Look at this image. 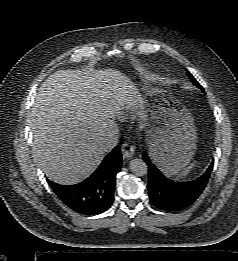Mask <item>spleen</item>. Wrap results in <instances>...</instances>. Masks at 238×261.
I'll list each match as a JSON object with an SVG mask.
<instances>
[{"label": "spleen", "instance_id": "1", "mask_svg": "<svg viewBox=\"0 0 238 261\" xmlns=\"http://www.w3.org/2000/svg\"><path fill=\"white\" fill-rule=\"evenodd\" d=\"M194 166V164H192L191 166H189L188 168L184 169L180 174L179 177H183L188 175V173L190 172V170L192 169V167Z\"/></svg>", "mask_w": 238, "mask_h": 261}]
</instances>
